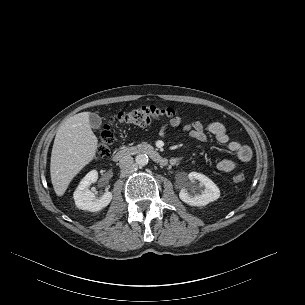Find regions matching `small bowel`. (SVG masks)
Wrapping results in <instances>:
<instances>
[{
	"instance_id": "small-bowel-1",
	"label": "small bowel",
	"mask_w": 305,
	"mask_h": 305,
	"mask_svg": "<svg viewBox=\"0 0 305 305\" xmlns=\"http://www.w3.org/2000/svg\"><path fill=\"white\" fill-rule=\"evenodd\" d=\"M182 123L183 119L181 117H173L169 122L161 126L159 129V135L162 137L167 136L170 130L178 127ZM182 132L201 142H205L208 138V134H211L219 143L223 144L229 152L236 155V160L224 159L216 164V168L220 172H233L240 164L249 162L252 157L250 147L243 145L238 141L231 140L225 125L220 122H211L204 126L201 121L197 120L190 124H185L182 127ZM170 162L173 166H177L182 162V158L172 157Z\"/></svg>"
}]
</instances>
